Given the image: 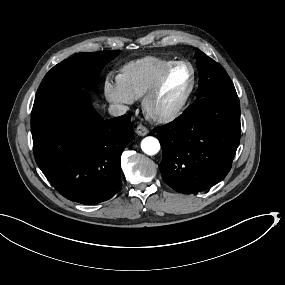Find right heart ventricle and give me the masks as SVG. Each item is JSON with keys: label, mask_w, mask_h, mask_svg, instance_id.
<instances>
[{"label": "right heart ventricle", "mask_w": 285, "mask_h": 285, "mask_svg": "<svg viewBox=\"0 0 285 285\" xmlns=\"http://www.w3.org/2000/svg\"><path fill=\"white\" fill-rule=\"evenodd\" d=\"M169 68L170 62L166 60L151 56L141 58L130 65L122 86L133 98H140Z\"/></svg>", "instance_id": "obj_1"}]
</instances>
